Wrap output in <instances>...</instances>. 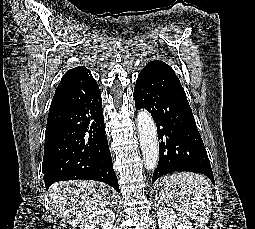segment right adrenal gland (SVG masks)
<instances>
[{"label":"right adrenal gland","mask_w":255,"mask_h":229,"mask_svg":"<svg viewBox=\"0 0 255 229\" xmlns=\"http://www.w3.org/2000/svg\"><path fill=\"white\" fill-rule=\"evenodd\" d=\"M117 205V199L115 197H112V202L110 203V206Z\"/></svg>","instance_id":"1"}]
</instances>
